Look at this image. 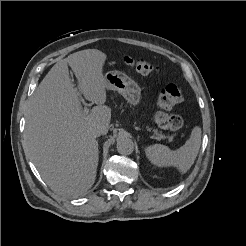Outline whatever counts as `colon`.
<instances>
[{
  "label": "colon",
  "mask_w": 246,
  "mask_h": 246,
  "mask_svg": "<svg viewBox=\"0 0 246 246\" xmlns=\"http://www.w3.org/2000/svg\"><path fill=\"white\" fill-rule=\"evenodd\" d=\"M126 65L134 68L141 75H150L158 72V68L151 62L142 59L126 56ZM183 101V93L175 84H168L158 92L156 111L154 113L155 123L163 128L178 131L184 126V120L180 115L167 114V111Z\"/></svg>",
  "instance_id": "5ec220e1"
}]
</instances>
